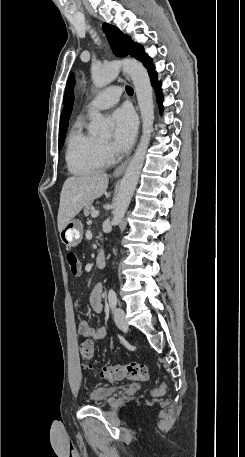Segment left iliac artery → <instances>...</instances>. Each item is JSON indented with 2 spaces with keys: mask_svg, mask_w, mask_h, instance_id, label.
Returning a JSON list of instances; mask_svg holds the SVG:
<instances>
[{
  "mask_svg": "<svg viewBox=\"0 0 245 457\" xmlns=\"http://www.w3.org/2000/svg\"><path fill=\"white\" fill-rule=\"evenodd\" d=\"M108 302H109V306L112 310L117 305V295L113 289H110L108 292Z\"/></svg>",
  "mask_w": 245,
  "mask_h": 457,
  "instance_id": "1",
  "label": "left iliac artery"
}]
</instances>
